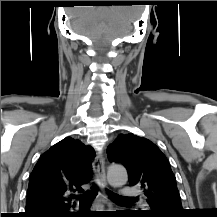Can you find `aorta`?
I'll use <instances>...</instances> for the list:
<instances>
[{"instance_id":"obj_1","label":"aorta","mask_w":217,"mask_h":217,"mask_svg":"<svg viewBox=\"0 0 217 217\" xmlns=\"http://www.w3.org/2000/svg\"><path fill=\"white\" fill-rule=\"evenodd\" d=\"M107 179L111 186L118 187L126 184L128 175L126 169L121 165H111L108 168Z\"/></svg>"}]
</instances>
